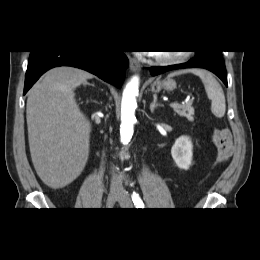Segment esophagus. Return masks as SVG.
<instances>
[{"label": "esophagus", "mask_w": 260, "mask_h": 260, "mask_svg": "<svg viewBox=\"0 0 260 260\" xmlns=\"http://www.w3.org/2000/svg\"><path fill=\"white\" fill-rule=\"evenodd\" d=\"M130 69L133 72L139 71L141 69L140 63L135 58L130 59Z\"/></svg>", "instance_id": "obj_1"}]
</instances>
